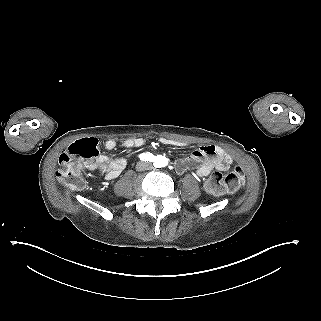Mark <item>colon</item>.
I'll use <instances>...</instances> for the list:
<instances>
[{
  "label": "colon",
  "mask_w": 321,
  "mask_h": 321,
  "mask_svg": "<svg viewBox=\"0 0 321 321\" xmlns=\"http://www.w3.org/2000/svg\"><path fill=\"white\" fill-rule=\"evenodd\" d=\"M99 154L98 142L95 139H85L71 144L59 158V168L55 177L63 186L81 190L86 185V178L82 168L76 163L78 159H94ZM244 182V173L240 166L222 174L215 171L206 181L208 192L215 195L234 194Z\"/></svg>",
  "instance_id": "5ec220e1"
}]
</instances>
